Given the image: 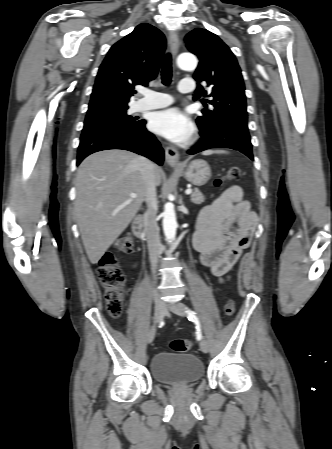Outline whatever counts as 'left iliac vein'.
<instances>
[{
	"mask_svg": "<svg viewBox=\"0 0 332 449\" xmlns=\"http://www.w3.org/2000/svg\"><path fill=\"white\" fill-rule=\"evenodd\" d=\"M168 308L175 314L179 315V316H186V309H185V305L183 303L180 302H176L173 304H169ZM199 346L202 352L207 353L209 350V345L208 342L205 339H202L199 342Z\"/></svg>",
	"mask_w": 332,
	"mask_h": 449,
	"instance_id": "1",
	"label": "left iliac vein"
}]
</instances>
